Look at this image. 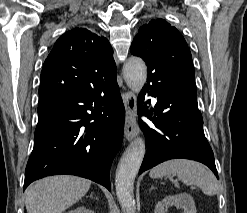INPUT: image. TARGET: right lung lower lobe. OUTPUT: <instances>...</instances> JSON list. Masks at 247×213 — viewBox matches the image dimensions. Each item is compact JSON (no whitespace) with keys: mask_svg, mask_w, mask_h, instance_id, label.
Wrapping results in <instances>:
<instances>
[{"mask_svg":"<svg viewBox=\"0 0 247 213\" xmlns=\"http://www.w3.org/2000/svg\"><path fill=\"white\" fill-rule=\"evenodd\" d=\"M124 119L116 76L39 102L24 190L37 179L59 174L85 177L110 190V167L122 143Z\"/></svg>","mask_w":247,"mask_h":213,"instance_id":"98d812e1","label":"right lung lower lobe"}]
</instances>
